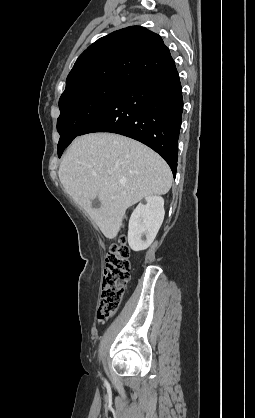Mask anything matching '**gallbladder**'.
I'll return each instance as SVG.
<instances>
[{"instance_id": "bac80fb5", "label": "gallbladder", "mask_w": 255, "mask_h": 418, "mask_svg": "<svg viewBox=\"0 0 255 418\" xmlns=\"http://www.w3.org/2000/svg\"><path fill=\"white\" fill-rule=\"evenodd\" d=\"M101 206V202L99 201V199L98 198H95L93 201H92V207L93 208H99Z\"/></svg>"}]
</instances>
